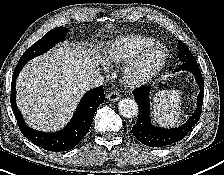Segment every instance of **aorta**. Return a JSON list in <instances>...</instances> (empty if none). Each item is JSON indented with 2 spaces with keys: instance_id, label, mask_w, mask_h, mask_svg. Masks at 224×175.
Wrapping results in <instances>:
<instances>
[{
  "instance_id": "aorta-1",
  "label": "aorta",
  "mask_w": 224,
  "mask_h": 175,
  "mask_svg": "<svg viewBox=\"0 0 224 175\" xmlns=\"http://www.w3.org/2000/svg\"><path fill=\"white\" fill-rule=\"evenodd\" d=\"M119 113L125 118H132L138 113L137 103L130 98H124L118 103Z\"/></svg>"
}]
</instances>
